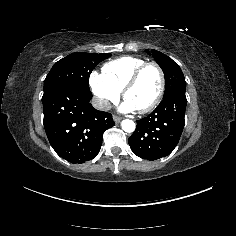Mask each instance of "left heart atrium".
<instances>
[{
  "mask_svg": "<svg viewBox=\"0 0 236 236\" xmlns=\"http://www.w3.org/2000/svg\"><path fill=\"white\" fill-rule=\"evenodd\" d=\"M121 110L122 111H127V112H132V111H135L136 109L128 101H125L121 105Z\"/></svg>",
  "mask_w": 236,
  "mask_h": 236,
  "instance_id": "1",
  "label": "left heart atrium"
}]
</instances>
